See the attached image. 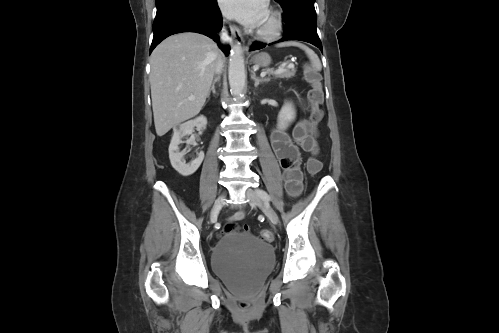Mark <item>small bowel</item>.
Returning <instances> with one entry per match:
<instances>
[{"label":"small bowel","instance_id":"c3829d8e","mask_svg":"<svg viewBox=\"0 0 499 333\" xmlns=\"http://www.w3.org/2000/svg\"><path fill=\"white\" fill-rule=\"evenodd\" d=\"M317 137L318 129L308 119L300 120L294 126L291 135L279 127L271 134V145L283 170L285 189L292 197L299 196L303 186L300 150L313 157L316 156L319 153ZM244 217L245 212L239 211L230 218V221H238Z\"/></svg>","mask_w":499,"mask_h":333}]
</instances>
